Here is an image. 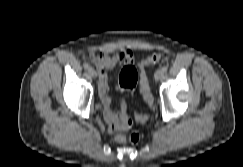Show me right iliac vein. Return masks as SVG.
Segmentation results:
<instances>
[{
  "instance_id": "right-iliac-vein-1",
  "label": "right iliac vein",
  "mask_w": 243,
  "mask_h": 167,
  "mask_svg": "<svg viewBox=\"0 0 243 167\" xmlns=\"http://www.w3.org/2000/svg\"><path fill=\"white\" fill-rule=\"evenodd\" d=\"M88 73H89V75H90L91 77H93V78H95V77L97 76L96 71H95L94 69H92V68H90V69L88 70Z\"/></svg>"
}]
</instances>
